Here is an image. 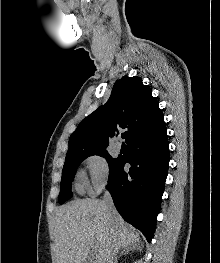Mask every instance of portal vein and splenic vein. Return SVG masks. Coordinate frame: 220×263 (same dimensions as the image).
Masks as SVG:
<instances>
[{
	"label": "portal vein and splenic vein",
	"instance_id": "obj_1",
	"mask_svg": "<svg viewBox=\"0 0 220 263\" xmlns=\"http://www.w3.org/2000/svg\"><path fill=\"white\" fill-rule=\"evenodd\" d=\"M93 250H94L95 252H97V250H98L97 244H94V245H93Z\"/></svg>",
	"mask_w": 220,
	"mask_h": 263
}]
</instances>
